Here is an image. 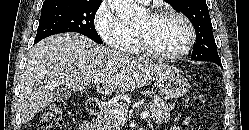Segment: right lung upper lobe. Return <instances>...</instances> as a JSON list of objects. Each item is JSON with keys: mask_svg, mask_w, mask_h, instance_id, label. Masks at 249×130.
Wrapping results in <instances>:
<instances>
[{"mask_svg": "<svg viewBox=\"0 0 249 130\" xmlns=\"http://www.w3.org/2000/svg\"><path fill=\"white\" fill-rule=\"evenodd\" d=\"M56 1H60V0H45L43 5L44 4H49V3H52V2H56ZM79 1H87V2H102V0H79Z\"/></svg>", "mask_w": 249, "mask_h": 130, "instance_id": "right-lung-upper-lobe-1", "label": "right lung upper lobe"}]
</instances>
